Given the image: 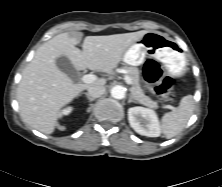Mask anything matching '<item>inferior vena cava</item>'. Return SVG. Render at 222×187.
I'll use <instances>...</instances> for the list:
<instances>
[{
    "label": "inferior vena cava",
    "mask_w": 222,
    "mask_h": 187,
    "mask_svg": "<svg viewBox=\"0 0 222 187\" xmlns=\"http://www.w3.org/2000/svg\"><path fill=\"white\" fill-rule=\"evenodd\" d=\"M105 90L103 85H92L88 88V94L93 98H98L105 93Z\"/></svg>",
    "instance_id": "obj_1"
}]
</instances>
